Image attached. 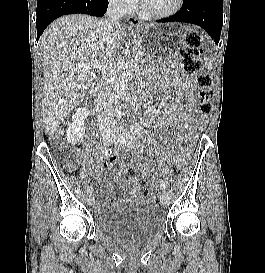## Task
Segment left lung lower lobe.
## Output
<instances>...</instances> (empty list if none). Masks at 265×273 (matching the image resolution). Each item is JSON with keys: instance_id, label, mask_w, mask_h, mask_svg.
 Here are the masks:
<instances>
[{"instance_id": "0a47b994", "label": "left lung lower lobe", "mask_w": 265, "mask_h": 273, "mask_svg": "<svg viewBox=\"0 0 265 273\" xmlns=\"http://www.w3.org/2000/svg\"><path fill=\"white\" fill-rule=\"evenodd\" d=\"M222 0H184L180 11L158 22H185L201 26L219 43L222 28Z\"/></svg>"}]
</instances>
